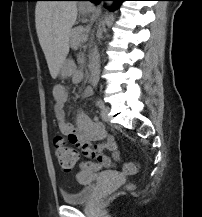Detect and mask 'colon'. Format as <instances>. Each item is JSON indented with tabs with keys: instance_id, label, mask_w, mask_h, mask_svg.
Masks as SVG:
<instances>
[{
	"instance_id": "obj_1",
	"label": "colon",
	"mask_w": 202,
	"mask_h": 217,
	"mask_svg": "<svg viewBox=\"0 0 202 217\" xmlns=\"http://www.w3.org/2000/svg\"><path fill=\"white\" fill-rule=\"evenodd\" d=\"M56 159L60 167L65 171H71L79 159V153L76 149L66 146H58L55 151ZM104 165L99 163L85 162L83 168L86 170H100ZM123 172L128 175L138 172V164L136 162H127L123 165Z\"/></svg>"
}]
</instances>
